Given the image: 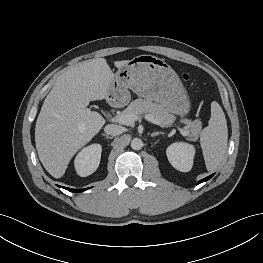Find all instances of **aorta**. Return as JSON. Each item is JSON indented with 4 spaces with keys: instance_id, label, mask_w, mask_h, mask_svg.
<instances>
[{
    "instance_id": "762f6f07",
    "label": "aorta",
    "mask_w": 263,
    "mask_h": 263,
    "mask_svg": "<svg viewBox=\"0 0 263 263\" xmlns=\"http://www.w3.org/2000/svg\"><path fill=\"white\" fill-rule=\"evenodd\" d=\"M143 147V142L140 138H134L131 141V148L134 150H140Z\"/></svg>"
}]
</instances>
